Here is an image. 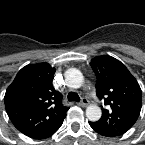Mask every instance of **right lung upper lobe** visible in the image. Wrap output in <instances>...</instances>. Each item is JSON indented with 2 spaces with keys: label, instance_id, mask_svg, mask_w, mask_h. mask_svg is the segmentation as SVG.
I'll return each instance as SVG.
<instances>
[{
  "label": "right lung upper lobe",
  "instance_id": "1",
  "mask_svg": "<svg viewBox=\"0 0 145 145\" xmlns=\"http://www.w3.org/2000/svg\"><path fill=\"white\" fill-rule=\"evenodd\" d=\"M55 71L48 63L27 65L6 90V112L28 137L52 129L66 116L68 108L62 104V94L52 85Z\"/></svg>",
  "mask_w": 145,
  "mask_h": 145
}]
</instances>
